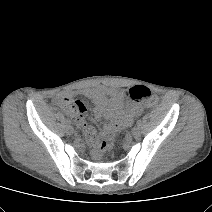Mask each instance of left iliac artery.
Listing matches in <instances>:
<instances>
[{
    "mask_svg": "<svg viewBox=\"0 0 212 212\" xmlns=\"http://www.w3.org/2000/svg\"><path fill=\"white\" fill-rule=\"evenodd\" d=\"M141 120H138L137 122H136V124H137V126L139 127V126H141Z\"/></svg>",
    "mask_w": 212,
    "mask_h": 212,
    "instance_id": "obj_1",
    "label": "left iliac artery"
}]
</instances>
